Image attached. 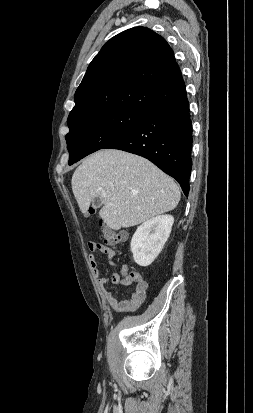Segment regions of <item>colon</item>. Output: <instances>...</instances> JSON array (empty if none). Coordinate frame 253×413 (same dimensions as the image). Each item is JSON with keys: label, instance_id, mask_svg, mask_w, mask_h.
<instances>
[{"label": "colon", "instance_id": "5ec220e1", "mask_svg": "<svg viewBox=\"0 0 253 413\" xmlns=\"http://www.w3.org/2000/svg\"><path fill=\"white\" fill-rule=\"evenodd\" d=\"M94 213H95V210L93 208H89L86 211L85 215L91 216ZM101 229H102V235H103L104 242L109 246L115 247L121 244L126 238L124 233L115 231L104 224H101ZM130 274L135 276L136 278L142 279L140 275L137 273H130Z\"/></svg>", "mask_w": 253, "mask_h": 413}]
</instances>
